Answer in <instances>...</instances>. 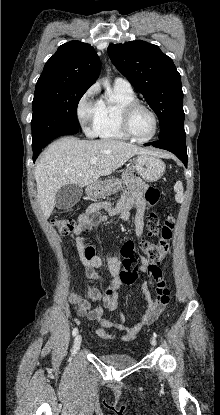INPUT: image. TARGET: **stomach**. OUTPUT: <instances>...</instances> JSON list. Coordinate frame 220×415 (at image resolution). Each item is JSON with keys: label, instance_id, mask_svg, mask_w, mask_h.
Returning a JSON list of instances; mask_svg holds the SVG:
<instances>
[{"label": "stomach", "instance_id": "stomach-1", "mask_svg": "<svg viewBox=\"0 0 220 415\" xmlns=\"http://www.w3.org/2000/svg\"><path fill=\"white\" fill-rule=\"evenodd\" d=\"M134 169L147 182H153L162 177L165 164L161 159L151 154H139L134 159ZM124 187V178L109 177L105 181H96L89 185L86 193L91 198H103L121 191Z\"/></svg>", "mask_w": 220, "mask_h": 415}]
</instances>
